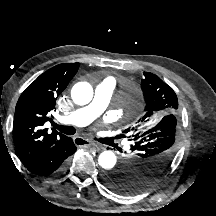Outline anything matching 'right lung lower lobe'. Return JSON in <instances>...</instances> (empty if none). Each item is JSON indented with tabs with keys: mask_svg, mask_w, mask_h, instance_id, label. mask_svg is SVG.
Returning a JSON list of instances; mask_svg holds the SVG:
<instances>
[{
	"mask_svg": "<svg viewBox=\"0 0 216 216\" xmlns=\"http://www.w3.org/2000/svg\"><path fill=\"white\" fill-rule=\"evenodd\" d=\"M76 149L72 139L67 137L52 146L35 162L26 166V168L39 176L53 175L65 166L67 158L71 156Z\"/></svg>",
	"mask_w": 216,
	"mask_h": 216,
	"instance_id": "right-lung-lower-lobe-1",
	"label": "right lung lower lobe"
}]
</instances>
